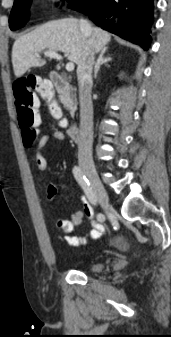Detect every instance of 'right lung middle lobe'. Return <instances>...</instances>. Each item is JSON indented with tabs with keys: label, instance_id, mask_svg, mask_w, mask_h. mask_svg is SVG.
I'll return each instance as SVG.
<instances>
[{
	"label": "right lung middle lobe",
	"instance_id": "obj_1",
	"mask_svg": "<svg viewBox=\"0 0 171 337\" xmlns=\"http://www.w3.org/2000/svg\"><path fill=\"white\" fill-rule=\"evenodd\" d=\"M70 1V0H68ZM74 0H71V2ZM31 5V0H15L9 18V26L11 30L21 28L28 21V10Z\"/></svg>",
	"mask_w": 171,
	"mask_h": 337
}]
</instances>
